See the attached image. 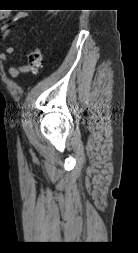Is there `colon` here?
Returning a JSON list of instances; mask_svg holds the SVG:
<instances>
[{"label": "colon", "instance_id": "colon-1", "mask_svg": "<svg viewBox=\"0 0 138 253\" xmlns=\"http://www.w3.org/2000/svg\"><path fill=\"white\" fill-rule=\"evenodd\" d=\"M43 64V52L40 48H36L28 53L27 63L23 70L27 73L34 74L41 68Z\"/></svg>", "mask_w": 138, "mask_h": 253}]
</instances>
